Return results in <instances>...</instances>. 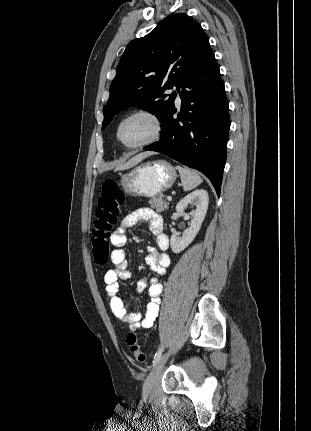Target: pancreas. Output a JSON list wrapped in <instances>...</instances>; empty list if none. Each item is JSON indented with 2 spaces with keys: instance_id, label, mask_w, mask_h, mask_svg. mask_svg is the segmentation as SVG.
I'll return each mask as SVG.
<instances>
[{
  "instance_id": "pancreas-1",
  "label": "pancreas",
  "mask_w": 311,
  "mask_h": 431,
  "mask_svg": "<svg viewBox=\"0 0 311 431\" xmlns=\"http://www.w3.org/2000/svg\"><path fill=\"white\" fill-rule=\"evenodd\" d=\"M164 198L165 196L160 194V196H157V198H151L148 204H150L151 208L156 210V212H164V210H168L169 208V204L168 202H164Z\"/></svg>"
}]
</instances>
